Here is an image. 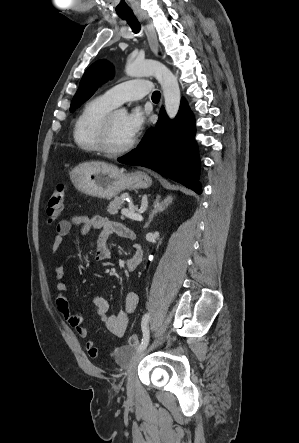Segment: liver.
I'll use <instances>...</instances> for the list:
<instances>
[{"label":"liver","instance_id":"6515ba94","mask_svg":"<svg viewBox=\"0 0 299 443\" xmlns=\"http://www.w3.org/2000/svg\"><path fill=\"white\" fill-rule=\"evenodd\" d=\"M95 163H97V164H102L101 162H95Z\"/></svg>","mask_w":299,"mask_h":443}]
</instances>
